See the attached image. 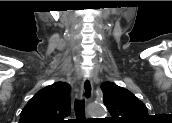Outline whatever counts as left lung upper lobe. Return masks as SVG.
<instances>
[{"mask_svg": "<svg viewBox=\"0 0 172 123\" xmlns=\"http://www.w3.org/2000/svg\"><path fill=\"white\" fill-rule=\"evenodd\" d=\"M103 102L111 117L108 119L114 123H136L148 117V111L132 92L112 82L101 85Z\"/></svg>", "mask_w": 172, "mask_h": 123, "instance_id": "1", "label": "left lung upper lobe"}]
</instances>
